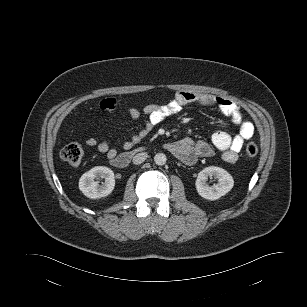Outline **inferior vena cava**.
<instances>
[{
  "instance_id": "inferior-vena-cava-1",
  "label": "inferior vena cava",
  "mask_w": 307,
  "mask_h": 307,
  "mask_svg": "<svg viewBox=\"0 0 307 307\" xmlns=\"http://www.w3.org/2000/svg\"><path fill=\"white\" fill-rule=\"evenodd\" d=\"M147 157L148 155L145 152L138 153L133 157V163L136 165L141 164L146 160Z\"/></svg>"
}]
</instances>
